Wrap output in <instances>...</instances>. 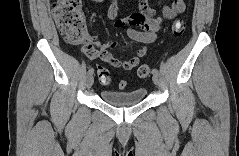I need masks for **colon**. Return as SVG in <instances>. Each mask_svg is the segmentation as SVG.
Instances as JSON below:
<instances>
[{
    "label": "colon",
    "mask_w": 239,
    "mask_h": 156,
    "mask_svg": "<svg viewBox=\"0 0 239 156\" xmlns=\"http://www.w3.org/2000/svg\"><path fill=\"white\" fill-rule=\"evenodd\" d=\"M54 18L57 26L62 33L65 41L74 46L87 43L88 35L85 26L84 13L81 3L78 0H58L53 4ZM185 23L177 20L172 26V33L176 37L184 34ZM150 74V67L146 64L141 65L137 70L140 78H146ZM98 79L101 83L110 82V74L106 67L97 68ZM118 87L124 89L125 81H119Z\"/></svg>",
    "instance_id": "5ec220e1"
}]
</instances>
